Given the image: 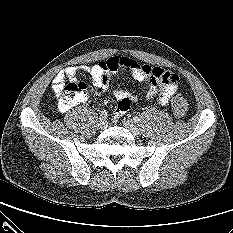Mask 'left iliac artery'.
Segmentation results:
<instances>
[{"instance_id":"44dca946","label":"left iliac artery","mask_w":233,"mask_h":233,"mask_svg":"<svg viewBox=\"0 0 233 233\" xmlns=\"http://www.w3.org/2000/svg\"><path fill=\"white\" fill-rule=\"evenodd\" d=\"M133 119H134V121L137 122V123L140 122V120H141L140 117H138V116H135Z\"/></svg>"}]
</instances>
